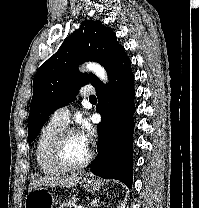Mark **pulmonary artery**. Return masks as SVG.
<instances>
[{"label":"pulmonary artery","mask_w":199,"mask_h":208,"mask_svg":"<svg viewBox=\"0 0 199 208\" xmlns=\"http://www.w3.org/2000/svg\"><path fill=\"white\" fill-rule=\"evenodd\" d=\"M94 92H95L94 88L86 87L80 91V96L83 98H90L94 96ZM70 115H71L70 107L64 106L55 110L51 116V119L55 122H58L66 126L69 123Z\"/></svg>","instance_id":"1"}]
</instances>
